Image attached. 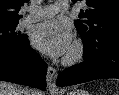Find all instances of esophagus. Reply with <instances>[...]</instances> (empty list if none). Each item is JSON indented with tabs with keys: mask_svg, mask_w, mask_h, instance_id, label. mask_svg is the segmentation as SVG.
I'll return each instance as SVG.
<instances>
[{
	"mask_svg": "<svg viewBox=\"0 0 119 95\" xmlns=\"http://www.w3.org/2000/svg\"><path fill=\"white\" fill-rule=\"evenodd\" d=\"M56 79H57V71L54 67L48 66L47 75H46V82L48 89L54 90L56 88Z\"/></svg>",
	"mask_w": 119,
	"mask_h": 95,
	"instance_id": "1",
	"label": "esophagus"
}]
</instances>
